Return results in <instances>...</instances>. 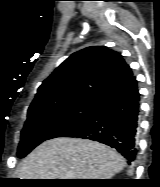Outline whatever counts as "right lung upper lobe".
Returning <instances> with one entry per match:
<instances>
[{
	"label": "right lung upper lobe",
	"mask_w": 160,
	"mask_h": 187,
	"mask_svg": "<svg viewBox=\"0 0 160 187\" xmlns=\"http://www.w3.org/2000/svg\"><path fill=\"white\" fill-rule=\"evenodd\" d=\"M133 75L123 57L92 46L67 58L38 88L29 109L77 99L99 100Z\"/></svg>",
	"instance_id": "1"
}]
</instances>
